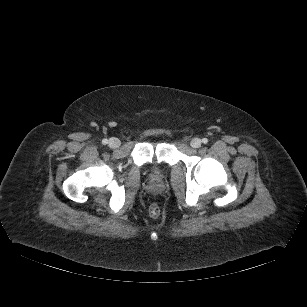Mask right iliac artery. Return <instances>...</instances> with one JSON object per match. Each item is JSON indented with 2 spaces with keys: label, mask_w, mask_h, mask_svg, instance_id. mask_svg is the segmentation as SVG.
<instances>
[{
  "label": "right iliac artery",
  "mask_w": 307,
  "mask_h": 307,
  "mask_svg": "<svg viewBox=\"0 0 307 307\" xmlns=\"http://www.w3.org/2000/svg\"><path fill=\"white\" fill-rule=\"evenodd\" d=\"M107 143H108V140H107V139H103V140H102V144H103V145H106Z\"/></svg>",
  "instance_id": "82829eb1"
}]
</instances>
